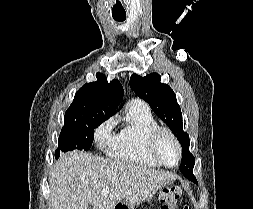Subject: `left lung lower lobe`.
<instances>
[{"label": "left lung lower lobe", "mask_w": 253, "mask_h": 209, "mask_svg": "<svg viewBox=\"0 0 253 209\" xmlns=\"http://www.w3.org/2000/svg\"><path fill=\"white\" fill-rule=\"evenodd\" d=\"M192 182L196 183L197 184V180H196V177L193 176L191 179H190Z\"/></svg>", "instance_id": "obj_1"}]
</instances>
